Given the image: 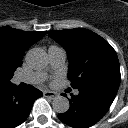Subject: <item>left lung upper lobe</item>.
<instances>
[{"instance_id": "left-lung-upper-lobe-1", "label": "left lung upper lobe", "mask_w": 128, "mask_h": 128, "mask_svg": "<svg viewBox=\"0 0 128 128\" xmlns=\"http://www.w3.org/2000/svg\"><path fill=\"white\" fill-rule=\"evenodd\" d=\"M67 52L68 78L71 86L81 89L96 84L120 85L117 54L112 46L96 33L84 29L48 31Z\"/></svg>"}]
</instances>
